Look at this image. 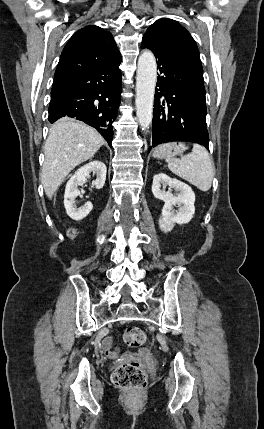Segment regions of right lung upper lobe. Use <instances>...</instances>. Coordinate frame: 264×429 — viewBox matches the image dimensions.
<instances>
[{"instance_id":"1","label":"right lung upper lobe","mask_w":264,"mask_h":429,"mask_svg":"<svg viewBox=\"0 0 264 429\" xmlns=\"http://www.w3.org/2000/svg\"><path fill=\"white\" fill-rule=\"evenodd\" d=\"M118 52L110 32L93 25L82 28L70 38L61 54L54 86L92 70Z\"/></svg>"}]
</instances>
